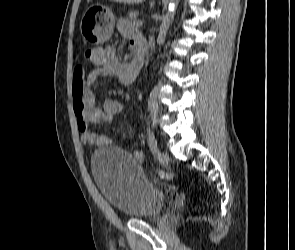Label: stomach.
Segmentation results:
<instances>
[{
    "mask_svg": "<svg viewBox=\"0 0 295 250\" xmlns=\"http://www.w3.org/2000/svg\"><path fill=\"white\" fill-rule=\"evenodd\" d=\"M115 17L111 10L102 4L91 5L84 13L80 30L83 37L92 45H105L114 30Z\"/></svg>",
    "mask_w": 295,
    "mask_h": 250,
    "instance_id": "obj_1",
    "label": "stomach"
}]
</instances>
